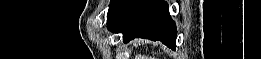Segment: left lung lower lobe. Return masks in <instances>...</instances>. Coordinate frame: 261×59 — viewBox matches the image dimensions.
<instances>
[{"label":"left lung lower lobe","mask_w":261,"mask_h":59,"mask_svg":"<svg viewBox=\"0 0 261 59\" xmlns=\"http://www.w3.org/2000/svg\"><path fill=\"white\" fill-rule=\"evenodd\" d=\"M108 29L134 38L159 40L175 50L176 26L163 0H120L108 14Z\"/></svg>","instance_id":"0a47b994"}]
</instances>
